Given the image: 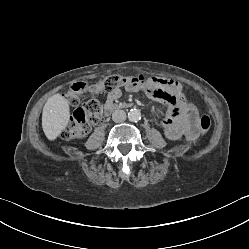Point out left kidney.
Returning a JSON list of instances; mask_svg holds the SVG:
<instances>
[{
  "instance_id": "5707ae66",
  "label": "left kidney",
  "mask_w": 249,
  "mask_h": 249,
  "mask_svg": "<svg viewBox=\"0 0 249 249\" xmlns=\"http://www.w3.org/2000/svg\"><path fill=\"white\" fill-rule=\"evenodd\" d=\"M152 115H153L155 118H161V117L164 115V110H163L161 107H155V108L152 110Z\"/></svg>"
}]
</instances>
